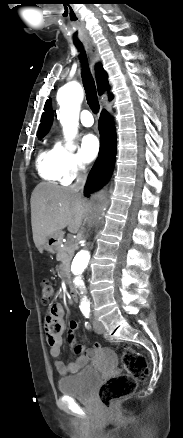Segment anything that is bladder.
<instances>
[{
	"mask_svg": "<svg viewBox=\"0 0 183 438\" xmlns=\"http://www.w3.org/2000/svg\"><path fill=\"white\" fill-rule=\"evenodd\" d=\"M99 381L100 375L97 370L89 367L74 376L59 379L57 387L63 395L88 399Z\"/></svg>",
	"mask_w": 183,
	"mask_h": 438,
	"instance_id": "obj_1",
	"label": "bladder"
}]
</instances>
